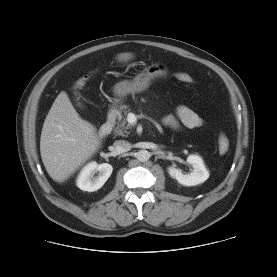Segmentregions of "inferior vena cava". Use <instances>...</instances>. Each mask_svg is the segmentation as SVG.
<instances>
[{
    "mask_svg": "<svg viewBox=\"0 0 277 277\" xmlns=\"http://www.w3.org/2000/svg\"><path fill=\"white\" fill-rule=\"evenodd\" d=\"M113 145H114V150L118 153L127 152L132 147L130 142L125 141V140H116Z\"/></svg>",
    "mask_w": 277,
    "mask_h": 277,
    "instance_id": "1",
    "label": "inferior vena cava"
}]
</instances>
